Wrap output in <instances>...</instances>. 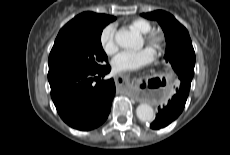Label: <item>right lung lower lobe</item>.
I'll return each instance as SVG.
<instances>
[{
	"instance_id": "right-lung-lower-lobe-1",
	"label": "right lung lower lobe",
	"mask_w": 230,
	"mask_h": 155,
	"mask_svg": "<svg viewBox=\"0 0 230 155\" xmlns=\"http://www.w3.org/2000/svg\"><path fill=\"white\" fill-rule=\"evenodd\" d=\"M111 67L48 73L51 97L60 117L69 126L87 131L108 117L115 96L113 79L101 80Z\"/></svg>"
}]
</instances>
